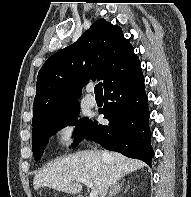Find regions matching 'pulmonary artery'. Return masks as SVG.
<instances>
[{"label":"pulmonary artery","mask_w":191,"mask_h":197,"mask_svg":"<svg viewBox=\"0 0 191 197\" xmlns=\"http://www.w3.org/2000/svg\"><path fill=\"white\" fill-rule=\"evenodd\" d=\"M92 90H93V87L92 86H89L88 88H87V95H86V97H85V101H86V103L89 105V106H91V107H93V106H95L96 105V98L94 97V95H92Z\"/></svg>","instance_id":"pulmonary-artery-1"}]
</instances>
